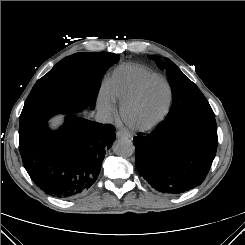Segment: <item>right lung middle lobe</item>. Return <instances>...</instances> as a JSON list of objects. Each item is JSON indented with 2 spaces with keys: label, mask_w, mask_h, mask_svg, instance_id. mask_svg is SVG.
Instances as JSON below:
<instances>
[{
  "label": "right lung middle lobe",
  "mask_w": 245,
  "mask_h": 245,
  "mask_svg": "<svg viewBox=\"0 0 245 245\" xmlns=\"http://www.w3.org/2000/svg\"><path fill=\"white\" fill-rule=\"evenodd\" d=\"M85 55L98 57L105 70L119 61L118 54L107 52L76 53L59 61L36 82L26 99L19 134L44 124L56 113L73 114L88 106L94 108L100 84L85 77L78 63Z\"/></svg>",
  "instance_id": "1"
}]
</instances>
